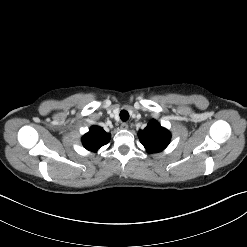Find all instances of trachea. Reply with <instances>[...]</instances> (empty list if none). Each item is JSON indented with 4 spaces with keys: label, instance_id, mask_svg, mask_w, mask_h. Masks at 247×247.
<instances>
[{
    "label": "trachea",
    "instance_id": "1",
    "mask_svg": "<svg viewBox=\"0 0 247 247\" xmlns=\"http://www.w3.org/2000/svg\"><path fill=\"white\" fill-rule=\"evenodd\" d=\"M120 118L123 122L127 121L129 119V113L126 110H122L120 112Z\"/></svg>",
    "mask_w": 247,
    "mask_h": 247
}]
</instances>
